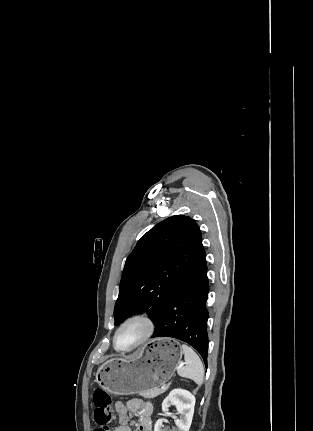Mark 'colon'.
Instances as JSON below:
<instances>
[{
	"label": "colon",
	"mask_w": 313,
	"mask_h": 431,
	"mask_svg": "<svg viewBox=\"0 0 313 431\" xmlns=\"http://www.w3.org/2000/svg\"><path fill=\"white\" fill-rule=\"evenodd\" d=\"M111 396L103 389L94 392V420L98 427L94 431H111L109 426L112 420Z\"/></svg>",
	"instance_id": "1"
}]
</instances>
